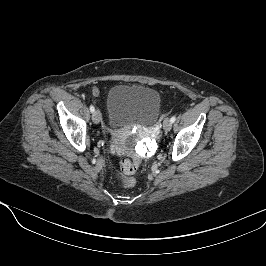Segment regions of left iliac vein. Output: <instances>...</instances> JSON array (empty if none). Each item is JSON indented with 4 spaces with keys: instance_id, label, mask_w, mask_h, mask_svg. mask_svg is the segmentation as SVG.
<instances>
[{
    "instance_id": "left-iliac-vein-1",
    "label": "left iliac vein",
    "mask_w": 266,
    "mask_h": 266,
    "mask_svg": "<svg viewBox=\"0 0 266 266\" xmlns=\"http://www.w3.org/2000/svg\"><path fill=\"white\" fill-rule=\"evenodd\" d=\"M163 128L165 131H170L172 128V122L170 121V119L166 118L163 122Z\"/></svg>"
}]
</instances>
